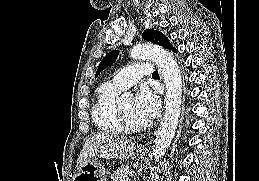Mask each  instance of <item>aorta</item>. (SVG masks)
Listing matches in <instances>:
<instances>
[{"instance_id":"1","label":"aorta","mask_w":259,"mask_h":181,"mask_svg":"<svg viewBox=\"0 0 259 181\" xmlns=\"http://www.w3.org/2000/svg\"><path fill=\"white\" fill-rule=\"evenodd\" d=\"M133 59H151L160 68L165 86V113L157 131L153 146V155L158 161L166 152L175 135L181 112L182 78L180 69L172 55L160 46L145 43L136 44L130 52ZM130 93H124L120 97L123 102L131 98Z\"/></svg>"}]
</instances>
